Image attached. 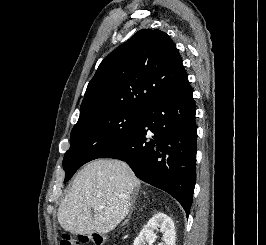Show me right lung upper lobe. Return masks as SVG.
Returning a JSON list of instances; mask_svg holds the SVG:
<instances>
[{
	"label": "right lung upper lobe",
	"mask_w": 266,
	"mask_h": 245,
	"mask_svg": "<svg viewBox=\"0 0 266 245\" xmlns=\"http://www.w3.org/2000/svg\"><path fill=\"white\" fill-rule=\"evenodd\" d=\"M187 80L170 37L157 29L139 30L101 62L88 84L79 118L107 108L146 110Z\"/></svg>",
	"instance_id": "1"
}]
</instances>
